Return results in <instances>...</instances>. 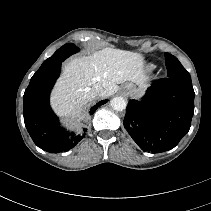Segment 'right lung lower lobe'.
<instances>
[{
	"label": "right lung lower lobe",
	"mask_w": 211,
	"mask_h": 211,
	"mask_svg": "<svg viewBox=\"0 0 211 211\" xmlns=\"http://www.w3.org/2000/svg\"><path fill=\"white\" fill-rule=\"evenodd\" d=\"M60 68L61 63H56L39 69L31 78L23 97V115L27 131L38 147L51 153L70 150L87 131L83 129V134L78 136L67 134L50 108L49 95L59 77ZM106 102L107 100L98 102L90 109V114Z\"/></svg>",
	"instance_id": "obj_1"
}]
</instances>
